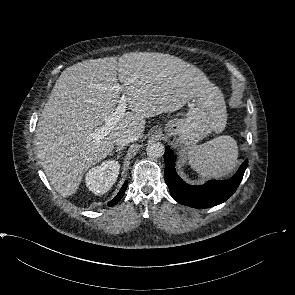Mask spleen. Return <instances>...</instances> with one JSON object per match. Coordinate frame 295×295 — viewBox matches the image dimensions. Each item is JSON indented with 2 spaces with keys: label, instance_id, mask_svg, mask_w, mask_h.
I'll list each match as a JSON object with an SVG mask.
<instances>
[{
  "label": "spleen",
  "instance_id": "obj_1",
  "mask_svg": "<svg viewBox=\"0 0 295 295\" xmlns=\"http://www.w3.org/2000/svg\"><path fill=\"white\" fill-rule=\"evenodd\" d=\"M238 146L234 138L219 136L188 149L191 167L203 176L223 177L237 165Z\"/></svg>",
  "mask_w": 295,
  "mask_h": 295
}]
</instances>
